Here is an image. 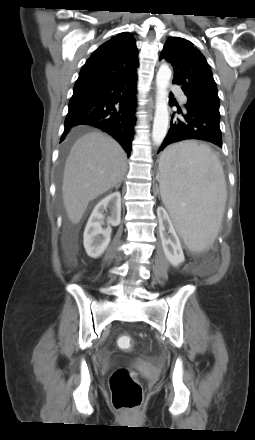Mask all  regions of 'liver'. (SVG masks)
<instances>
[{"label":"liver","mask_w":255,"mask_h":440,"mask_svg":"<svg viewBox=\"0 0 255 440\" xmlns=\"http://www.w3.org/2000/svg\"><path fill=\"white\" fill-rule=\"evenodd\" d=\"M126 162L127 155L119 143L101 132L87 133L74 143L62 185L63 204L72 224L80 222L90 201L122 181ZM162 162L167 166L166 158Z\"/></svg>","instance_id":"obj_1"}]
</instances>
